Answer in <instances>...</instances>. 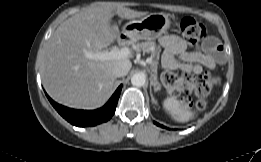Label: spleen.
<instances>
[{
    "mask_svg": "<svg viewBox=\"0 0 261 162\" xmlns=\"http://www.w3.org/2000/svg\"><path fill=\"white\" fill-rule=\"evenodd\" d=\"M163 108L178 122H187L195 115L188 105L183 104L175 96L164 99Z\"/></svg>",
    "mask_w": 261,
    "mask_h": 162,
    "instance_id": "3e777b00",
    "label": "spleen"
}]
</instances>
